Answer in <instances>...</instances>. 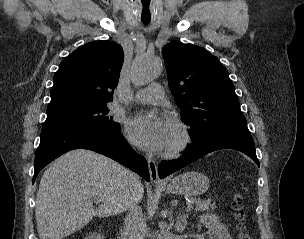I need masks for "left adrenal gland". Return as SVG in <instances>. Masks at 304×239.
<instances>
[{
  "instance_id": "1",
  "label": "left adrenal gland",
  "mask_w": 304,
  "mask_h": 239,
  "mask_svg": "<svg viewBox=\"0 0 304 239\" xmlns=\"http://www.w3.org/2000/svg\"><path fill=\"white\" fill-rule=\"evenodd\" d=\"M189 217V214L184 215H178L175 222V228L177 232L182 233L186 226H187V218Z\"/></svg>"
}]
</instances>
